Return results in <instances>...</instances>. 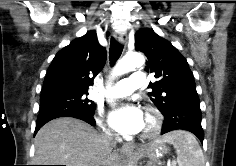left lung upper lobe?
I'll return each mask as SVG.
<instances>
[{
    "instance_id": "5c2ea615",
    "label": "left lung upper lobe",
    "mask_w": 236,
    "mask_h": 166,
    "mask_svg": "<svg viewBox=\"0 0 236 166\" xmlns=\"http://www.w3.org/2000/svg\"><path fill=\"white\" fill-rule=\"evenodd\" d=\"M135 49L143 52L148 61L146 71L158 79L149 83L151 101L160 112L182 109L191 100H199L194 76L183 55L152 29H140L135 34Z\"/></svg>"
}]
</instances>
